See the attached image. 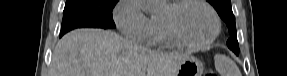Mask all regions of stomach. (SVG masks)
<instances>
[{"label": "stomach", "instance_id": "stomach-1", "mask_svg": "<svg viewBox=\"0 0 287 76\" xmlns=\"http://www.w3.org/2000/svg\"><path fill=\"white\" fill-rule=\"evenodd\" d=\"M203 70V63L189 56L182 62L175 76H202Z\"/></svg>", "mask_w": 287, "mask_h": 76}]
</instances>
